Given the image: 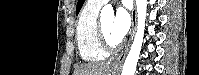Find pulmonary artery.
Here are the masks:
<instances>
[{"label": "pulmonary artery", "mask_w": 199, "mask_h": 75, "mask_svg": "<svg viewBox=\"0 0 199 75\" xmlns=\"http://www.w3.org/2000/svg\"><path fill=\"white\" fill-rule=\"evenodd\" d=\"M108 1L106 0H92V1H89L88 3L91 5V6H97V7H101L103 6L104 4H106Z\"/></svg>", "instance_id": "1"}]
</instances>
